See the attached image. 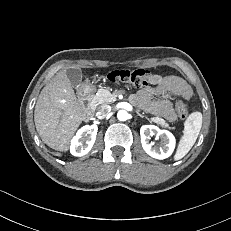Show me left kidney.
<instances>
[{
  "label": "left kidney",
  "instance_id": "1",
  "mask_svg": "<svg viewBox=\"0 0 231 231\" xmlns=\"http://www.w3.org/2000/svg\"><path fill=\"white\" fill-rule=\"evenodd\" d=\"M156 133V136L163 142L162 146L157 148L149 143V136ZM141 143L144 151L155 159H165L172 155L176 139L174 135L168 130H161L155 125H143L140 128Z\"/></svg>",
  "mask_w": 231,
  "mask_h": 231
}]
</instances>
